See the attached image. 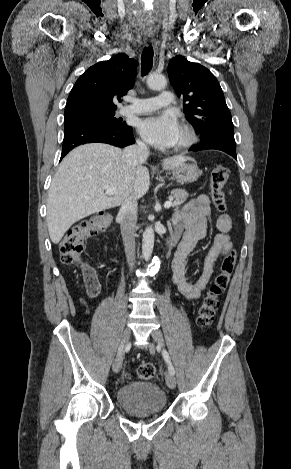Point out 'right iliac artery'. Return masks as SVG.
<instances>
[{
  "instance_id": "1",
  "label": "right iliac artery",
  "mask_w": 291,
  "mask_h": 469,
  "mask_svg": "<svg viewBox=\"0 0 291 469\" xmlns=\"http://www.w3.org/2000/svg\"><path fill=\"white\" fill-rule=\"evenodd\" d=\"M120 350H121V345H120V347H119L118 353L120 352Z\"/></svg>"
}]
</instances>
